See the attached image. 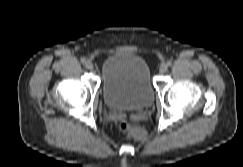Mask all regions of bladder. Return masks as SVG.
<instances>
[{
	"label": "bladder",
	"instance_id": "obj_1",
	"mask_svg": "<svg viewBox=\"0 0 243 167\" xmlns=\"http://www.w3.org/2000/svg\"><path fill=\"white\" fill-rule=\"evenodd\" d=\"M102 95L113 110L142 111L154 103L150 70L145 59L130 52H115L102 64Z\"/></svg>",
	"mask_w": 243,
	"mask_h": 167
}]
</instances>
